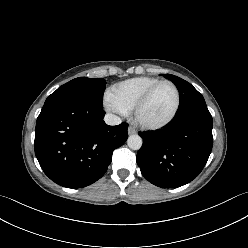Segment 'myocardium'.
<instances>
[{"label":"myocardium","mask_w":248,"mask_h":248,"mask_svg":"<svg viewBox=\"0 0 248 248\" xmlns=\"http://www.w3.org/2000/svg\"><path fill=\"white\" fill-rule=\"evenodd\" d=\"M165 84L170 85L175 92L176 99H175V106L173 108V111L165 120L159 123L146 122L145 120L142 119L141 112L143 108L145 107V105L147 104V102L149 101L152 94L155 92V90ZM180 103H181V97H180V92H179L178 87L170 80H160L159 82L152 85L138 100L137 104L135 105L133 109L135 121L140 127L146 130L157 131V130L164 129L165 127L170 125L176 118L179 108H180Z\"/></svg>","instance_id":"obj_1"}]
</instances>
